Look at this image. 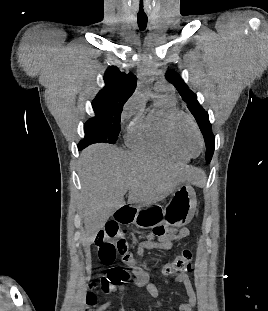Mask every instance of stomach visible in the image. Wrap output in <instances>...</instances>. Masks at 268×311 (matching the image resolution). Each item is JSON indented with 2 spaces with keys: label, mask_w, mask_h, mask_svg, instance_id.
I'll list each match as a JSON object with an SVG mask.
<instances>
[{
  "label": "stomach",
  "mask_w": 268,
  "mask_h": 311,
  "mask_svg": "<svg viewBox=\"0 0 268 311\" xmlns=\"http://www.w3.org/2000/svg\"><path fill=\"white\" fill-rule=\"evenodd\" d=\"M196 203V193L193 187L182 183L173 191L166 210L158 207L147 209L137 207L132 223L142 229L153 228L162 223L180 228L187 225L193 218Z\"/></svg>",
  "instance_id": "1"
}]
</instances>
